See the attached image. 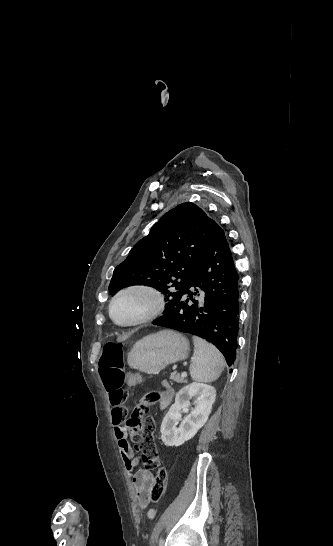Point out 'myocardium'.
Segmentation results:
<instances>
[{
  "mask_svg": "<svg viewBox=\"0 0 333 546\" xmlns=\"http://www.w3.org/2000/svg\"><path fill=\"white\" fill-rule=\"evenodd\" d=\"M134 293L142 294L147 297L149 302L147 308L129 321L120 322L116 320L113 315V308L115 304L124 296ZM165 305V297L159 289L146 283H134L123 287L112 297L108 306V313L110 319L115 325L123 328H129L140 326L156 319L163 313Z\"/></svg>",
  "mask_w": 333,
  "mask_h": 546,
  "instance_id": "1",
  "label": "myocardium"
}]
</instances>
